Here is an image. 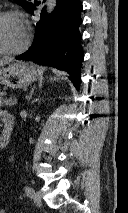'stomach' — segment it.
Returning a JSON list of instances; mask_svg holds the SVG:
<instances>
[{
  "mask_svg": "<svg viewBox=\"0 0 128 213\" xmlns=\"http://www.w3.org/2000/svg\"><path fill=\"white\" fill-rule=\"evenodd\" d=\"M38 77L37 71L27 63L17 62L0 68V83L10 88L28 86Z\"/></svg>",
  "mask_w": 128,
  "mask_h": 213,
  "instance_id": "1",
  "label": "stomach"
}]
</instances>
